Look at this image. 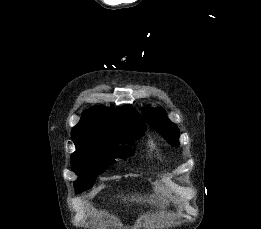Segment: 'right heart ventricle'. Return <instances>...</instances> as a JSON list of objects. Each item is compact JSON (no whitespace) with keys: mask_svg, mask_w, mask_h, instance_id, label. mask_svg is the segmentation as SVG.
Returning a JSON list of instances; mask_svg holds the SVG:
<instances>
[{"mask_svg":"<svg viewBox=\"0 0 261 229\" xmlns=\"http://www.w3.org/2000/svg\"><path fill=\"white\" fill-rule=\"evenodd\" d=\"M149 148H150L151 150H154V149H155V145H154L153 143H150V144H149Z\"/></svg>","mask_w":261,"mask_h":229,"instance_id":"e07e8e85","label":"right heart ventricle"}]
</instances>
